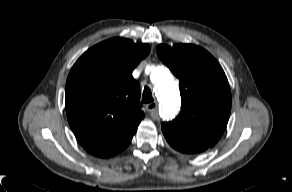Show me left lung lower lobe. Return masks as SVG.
Returning <instances> with one entry per match:
<instances>
[{"mask_svg": "<svg viewBox=\"0 0 292 192\" xmlns=\"http://www.w3.org/2000/svg\"><path fill=\"white\" fill-rule=\"evenodd\" d=\"M167 142L172 146L175 150L186 153V154H195L200 153L208 149L209 147H206L204 145L194 144L187 142L183 139L174 137L173 135L163 133Z\"/></svg>", "mask_w": 292, "mask_h": 192, "instance_id": "obj_1", "label": "left lung lower lobe"}]
</instances>
